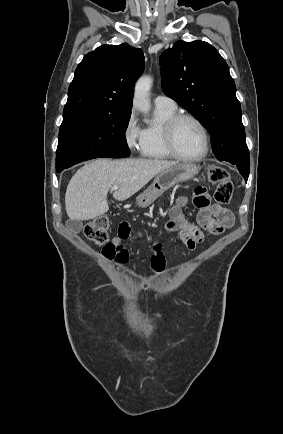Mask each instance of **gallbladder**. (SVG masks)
<instances>
[{
  "mask_svg": "<svg viewBox=\"0 0 283 434\" xmlns=\"http://www.w3.org/2000/svg\"><path fill=\"white\" fill-rule=\"evenodd\" d=\"M67 226L74 232L78 233L82 230L83 228V223L81 221H77V220H69L67 222Z\"/></svg>",
  "mask_w": 283,
  "mask_h": 434,
  "instance_id": "gallbladder-1",
  "label": "gallbladder"
}]
</instances>
